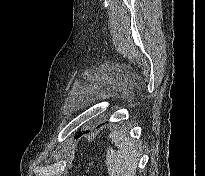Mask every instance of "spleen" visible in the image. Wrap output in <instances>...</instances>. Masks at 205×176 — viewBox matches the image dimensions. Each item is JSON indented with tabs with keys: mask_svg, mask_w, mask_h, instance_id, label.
I'll use <instances>...</instances> for the list:
<instances>
[{
	"mask_svg": "<svg viewBox=\"0 0 205 176\" xmlns=\"http://www.w3.org/2000/svg\"><path fill=\"white\" fill-rule=\"evenodd\" d=\"M109 137L118 148L117 151L107 150L105 162L109 175L135 176L138 158L140 157L135 141L120 132H112Z\"/></svg>",
	"mask_w": 205,
	"mask_h": 176,
	"instance_id": "obj_1",
	"label": "spleen"
}]
</instances>
